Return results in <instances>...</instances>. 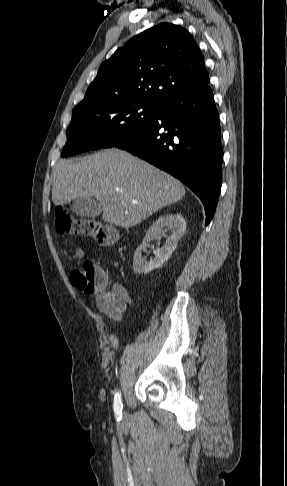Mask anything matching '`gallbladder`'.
<instances>
[{"mask_svg":"<svg viewBox=\"0 0 287 486\" xmlns=\"http://www.w3.org/2000/svg\"><path fill=\"white\" fill-rule=\"evenodd\" d=\"M70 206L73 213L80 217L95 218L102 213L99 201L93 197L76 198Z\"/></svg>","mask_w":287,"mask_h":486,"instance_id":"bac80fb5","label":"gallbladder"}]
</instances>
